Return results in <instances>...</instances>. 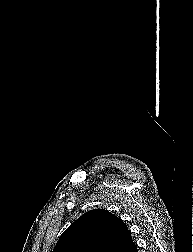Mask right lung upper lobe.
Instances as JSON below:
<instances>
[{
    "label": "right lung upper lobe",
    "instance_id": "obj_1",
    "mask_svg": "<svg viewBox=\"0 0 193 252\" xmlns=\"http://www.w3.org/2000/svg\"><path fill=\"white\" fill-rule=\"evenodd\" d=\"M131 234L121 219L104 209L80 216L61 235L53 252H134Z\"/></svg>",
    "mask_w": 193,
    "mask_h": 252
}]
</instances>
